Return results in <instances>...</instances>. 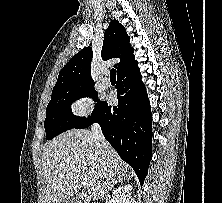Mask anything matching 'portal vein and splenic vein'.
Segmentation results:
<instances>
[{"instance_id":"obj_1","label":"portal vein and splenic vein","mask_w":222,"mask_h":203,"mask_svg":"<svg viewBox=\"0 0 222 203\" xmlns=\"http://www.w3.org/2000/svg\"><path fill=\"white\" fill-rule=\"evenodd\" d=\"M82 185H83L84 187H88V186H89V184H88V182H87L86 179H83V180H82Z\"/></svg>"}]
</instances>
